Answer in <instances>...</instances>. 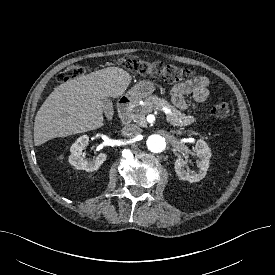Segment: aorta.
I'll return each instance as SVG.
<instances>
[{"mask_svg": "<svg viewBox=\"0 0 275 275\" xmlns=\"http://www.w3.org/2000/svg\"><path fill=\"white\" fill-rule=\"evenodd\" d=\"M146 144L148 149L153 153H161L166 148L165 138L158 134L150 135Z\"/></svg>", "mask_w": 275, "mask_h": 275, "instance_id": "aorta-1", "label": "aorta"}]
</instances>
